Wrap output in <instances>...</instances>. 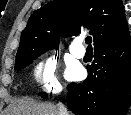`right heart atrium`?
Returning a JSON list of instances; mask_svg holds the SVG:
<instances>
[{
	"mask_svg": "<svg viewBox=\"0 0 131 115\" xmlns=\"http://www.w3.org/2000/svg\"><path fill=\"white\" fill-rule=\"evenodd\" d=\"M35 80L48 92L59 91V84L55 75V63L52 58L39 60L33 70Z\"/></svg>",
	"mask_w": 131,
	"mask_h": 115,
	"instance_id": "1",
	"label": "right heart atrium"
}]
</instances>
